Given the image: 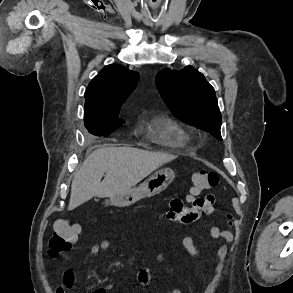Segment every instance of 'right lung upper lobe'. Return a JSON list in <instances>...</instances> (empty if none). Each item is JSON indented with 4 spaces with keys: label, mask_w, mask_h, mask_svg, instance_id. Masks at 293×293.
I'll list each match as a JSON object with an SVG mask.
<instances>
[{
    "label": "right lung upper lobe",
    "mask_w": 293,
    "mask_h": 293,
    "mask_svg": "<svg viewBox=\"0 0 293 293\" xmlns=\"http://www.w3.org/2000/svg\"><path fill=\"white\" fill-rule=\"evenodd\" d=\"M138 80L137 72L116 64L106 66L93 78L86 89L84 116L119 112Z\"/></svg>",
    "instance_id": "right-lung-upper-lobe-1"
}]
</instances>
